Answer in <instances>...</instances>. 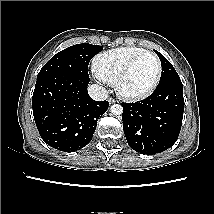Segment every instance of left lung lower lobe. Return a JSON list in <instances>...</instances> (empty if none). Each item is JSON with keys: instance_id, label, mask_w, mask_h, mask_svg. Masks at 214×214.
Wrapping results in <instances>:
<instances>
[{"instance_id": "left-lung-lower-lobe-1", "label": "left lung lower lobe", "mask_w": 214, "mask_h": 214, "mask_svg": "<svg viewBox=\"0 0 214 214\" xmlns=\"http://www.w3.org/2000/svg\"><path fill=\"white\" fill-rule=\"evenodd\" d=\"M123 129L129 146L153 155L170 148L178 139L184 112L181 80L158 84L144 100L122 103Z\"/></svg>"}]
</instances>
